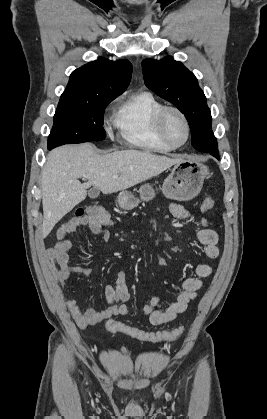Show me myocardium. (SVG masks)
<instances>
[{
  "label": "myocardium",
  "instance_id": "myocardium-1",
  "mask_svg": "<svg viewBox=\"0 0 267 419\" xmlns=\"http://www.w3.org/2000/svg\"><path fill=\"white\" fill-rule=\"evenodd\" d=\"M172 112L176 113L181 118V120L184 123L185 129H186V137H185V140L181 144H174L173 142H171V140L168 138V136L166 134V131H165L166 118H167L168 114L172 113ZM155 128H156V132H157L160 140L172 149H177V148H180L183 145H185L187 143V141L189 140L190 133H191L190 124H189V121H188L185 113L176 106H163L158 111V113L155 117Z\"/></svg>",
  "mask_w": 267,
  "mask_h": 419
}]
</instances>
